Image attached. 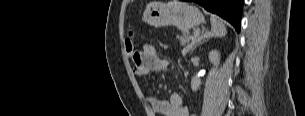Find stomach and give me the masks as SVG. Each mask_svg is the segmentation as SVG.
I'll return each mask as SVG.
<instances>
[{
	"label": "stomach",
	"mask_w": 305,
	"mask_h": 116,
	"mask_svg": "<svg viewBox=\"0 0 305 116\" xmlns=\"http://www.w3.org/2000/svg\"><path fill=\"white\" fill-rule=\"evenodd\" d=\"M143 21L153 27L173 25L179 29L197 27L204 22L198 8L182 1L154 2L148 6Z\"/></svg>",
	"instance_id": "0dacf381"
}]
</instances>
